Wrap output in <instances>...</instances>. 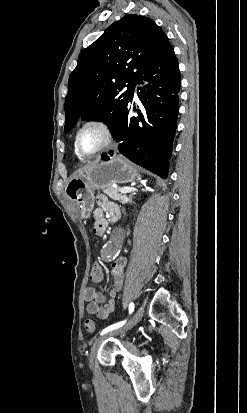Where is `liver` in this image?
<instances>
[{
  "mask_svg": "<svg viewBox=\"0 0 247 413\" xmlns=\"http://www.w3.org/2000/svg\"><path fill=\"white\" fill-rule=\"evenodd\" d=\"M91 164H85V166H82V168H78V170H75L72 174V178H75V176H78V174H81V172H85L87 168H90Z\"/></svg>",
  "mask_w": 247,
  "mask_h": 413,
  "instance_id": "1",
  "label": "liver"
}]
</instances>
